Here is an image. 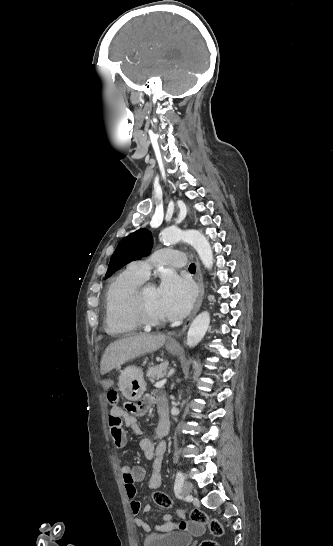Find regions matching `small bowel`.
Masks as SVG:
<instances>
[{"mask_svg": "<svg viewBox=\"0 0 333 546\" xmlns=\"http://www.w3.org/2000/svg\"><path fill=\"white\" fill-rule=\"evenodd\" d=\"M104 388H113L114 380L113 379H104L103 380ZM153 405H155L159 422L156 430L155 439L157 443L149 438H143L140 440L139 446L143 451L144 456L152 460V469L151 475L149 478V486L151 488H158L162 484V459L166 451V442L164 437L169 430V420H168V405L166 398L162 394L158 393H149L145 395L138 403L127 406V410L130 411L133 415L127 411L121 409L120 407H113L108 416V426L111 437L114 441V444L117 448H123L126 444V436L122 429V424L130 427L132 431L136 434H141L142 429L137 422L136 416L144 415ZM124 487L128 498L131 500V510L133 514L138 515L140 511L143 514H148L151 512V507L145 505L141 508L139 501L135 500L136 496V486L135 484L139 481H142L145 477V470L141 466H131L129 464L123 463L120 467ZM179 515L184 517L183 511H179ZM164 523L158 525L156 530L160 533L169 532L176 529L177 527H185L186 522L183 520L180 523L175 522L171 515L166 514L163 517ZM136 526L142 528L145 532L150 531V525L145 521V519L137 517L135 518ZM198 525H190L192 530H197Z\"/></svg>", "mask_w": 333, "mask_h": 546, "instance_id": "small-bowel-1", "label": "small bowel"}]
</instances>
